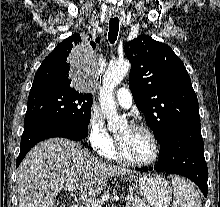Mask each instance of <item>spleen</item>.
I'll list each match as a JSON object with an SVG mask.
<instances>
[{"label": "spleen", "mask_w": 220, "mask_h": 207, "mask_svg": "<svg viewBox=\"0 0 220 207\" xmlns=\"http://www.w3.org/2000/svg\"><path fill=\"white\" fill-rule=\"evenodd\" d=\"M174 190L173 207H201L199 193L183 178L172 179Z\"/></svg>", "instance_id": "1"}]
</instances>
